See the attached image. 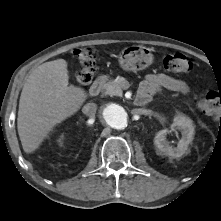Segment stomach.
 Masks as SVG:
<instances>
[{
    "label": "stomach",
    "mask_w": 221,
    "mask_h": 221,
    "mask_svg": "<svg viewBox=\"0 0 221 221\" xmlns=\"http://www.w3.org/2000/svg\"><path fill=\"white\" fill-rule=\"evenodd\" d=\"M153 55L146 47L130 46L124 48L119 55V65L125 71H140L151 65Z\"/></svg>",
    "instance_id": "obj_1"
}]
</instances>
